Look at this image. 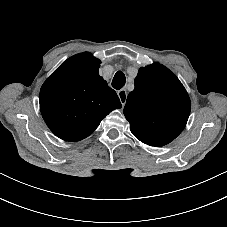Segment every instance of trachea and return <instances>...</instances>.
<instances>
[{
	"label": "trachea",
	"instance_id": "trachea-1",
	"mask_svg": "<svg viewBox=\"0 0 227 227\" xmlns=\"http://www.w3.org/2000/svg\"><path fill=\"white\" fill-rule=\"evenodd\" d=\"M125 82H126V79H125L124 73L121 71H118L114 75L112 86L113 88L119 90L125 85Z\"/></svg>",
	"mask_w": 227,
	"mask_h": 227
}]
</instances>
